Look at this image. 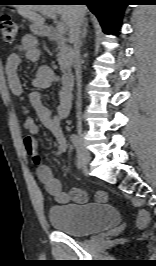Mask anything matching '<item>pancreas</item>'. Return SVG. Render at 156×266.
<instances>
[{
    "mask_svg": "<svg viewBox=\"0 0 156 266\" xmlns=\"http://www.w3.org/2000/svg\"><path fill=\"white\" fill-rule=\"evenodd\" d=\"M58 50V63L60 70L65 73L73 63V50L70 46L66 45L63 41L57 42Z\"/></svg>",
    "mask_w": 156,
    "mask_h": 266,
    "instance_id": "1",
    "label": "pancreas"
}]
</instances>
